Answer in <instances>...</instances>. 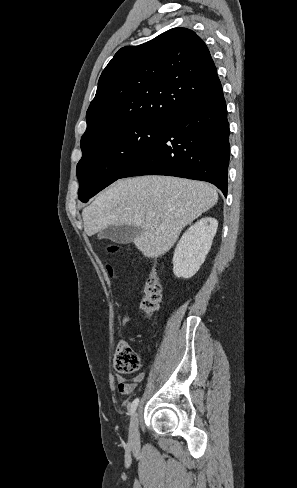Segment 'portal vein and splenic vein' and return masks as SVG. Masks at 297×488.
Segmentation results:
<instances>
[{"instance_id":"18ae733b","label":"portal vein and splenic vein","mask_w":297,"mask_h":488,"mask_svg":"<svg viewBox=\"0 0 297 488\" xmlns=\"http://www.w3.org/2000/svg\"><path fill=\"white\" fill-rule=\"evenodd\" d=\"M150 216H154V213H149Z\"/></svg>"}]
</instances>
